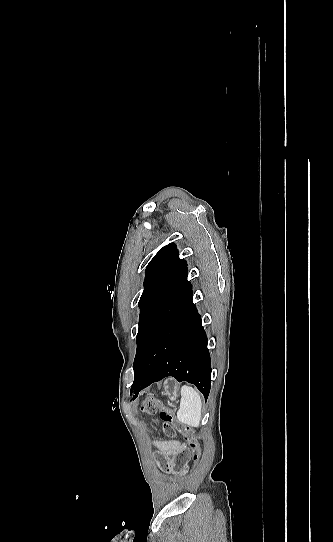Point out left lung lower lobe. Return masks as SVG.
I'll list each match as a JSON object with an SVG mask.
<instances>
[{"label":"left lung lower lobe","mask_w":333,"mask_h":542,"mask_svg":"<svg viewBox=\"0 0 333 542\" xmlns=\"http://www.w3.org/2000/svg\"><path fill=\"white\" fill-rule=\"evenodd\" d=\"M201 316L192 302V291L166 321L149 345L140 370L134 375L131 394L167 376L193 383L207 399L211 386V358Z\"/></svg>","instance_id":"0a47b994"}]
</instances>
